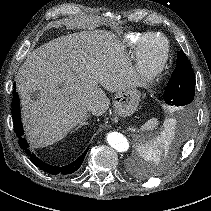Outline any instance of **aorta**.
<instances>
[{
  "mask_svg": "<svg viewBox=\"0 0 211 211\" xmlns=\"http://www.w3.org/2000/svg\"><path fill=\"white\" fill-rule=\"evenodd\" d=\"M106 139L109 145L119 152H125L129 149L128 140L119 132L108 133Z\"/></svg>",
  "mask_w": 211,
  "mask_h": 211,
  "instance_id": "1",
  "label": "aorta"
}]
</instances>
